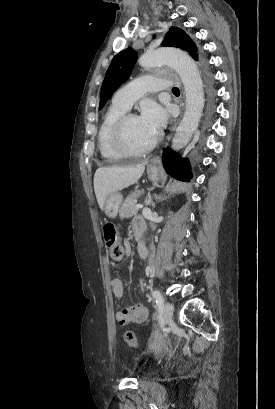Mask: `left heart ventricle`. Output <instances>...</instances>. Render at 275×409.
Returning a JSON list of instances; mask_svg holds the SVG:
<instances>
[{
	"label": "left heart ventricle",
	"instance_id": "left-heart-ventricle-1",
	"mask_svg": "<svg viewBox=\"0 0 275 409\" xmlns=\"http://www.w3.org/2000/svg\"><path fill=\"white\" fill-rule=\"evenodd\" d=\"M156 135L152 134L143 124L142 120L137 117L131 119L128 125V141L135 148L147 146Z\"/></svg>",
	"mask_w": 275,
	"mask_h": 409
}]
</instances>
